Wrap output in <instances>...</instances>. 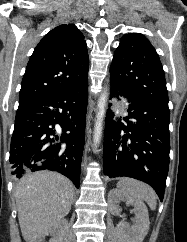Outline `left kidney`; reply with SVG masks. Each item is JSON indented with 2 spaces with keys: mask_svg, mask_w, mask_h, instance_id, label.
Segmentation results:
<instances>
[{
  "mask_svg": "<svg viewBox=\"0 0 187 242\" xmlns=\"http://www.w3.org/2000/svg\"><path fill=\"white\" fill-rule=\"evenodd\" d=\"M125 202L134 207L135 219L131 227L121 222L117 225L116 230L122 242H142L149 230V216L146 205L132 197H129L118 189H112L108 193L109 210L113 215L120 214L119 203Z\"/></svg>",
  "mask_w": 187,
  "mask_h": 242,
  "instance_id": "obj_1",
  "label": "left kidney"
}]
</instances>
